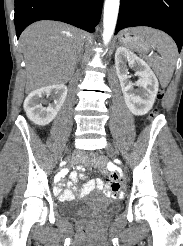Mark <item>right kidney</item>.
I'll return each instance as SVG.
<instances>
[{
  "mask_svg": "<svg viewBox=\"0 0 183 246\" xmlns=\"http://www.w3.org/2000/svg\"><path fill=\"white\" fill-rule=\"evenodd\" d=\"M67 87L64 84H54L32 91L24 101V110L27 117L36 125H48L57 115L67 96ZM45 97L52 100L47 107Z\"/></svg>",
  "mask_w": 183,
  "mask_h": 246,
  "instance_id": "right-kidney-1",
  "label": "right kidney"
}]
</instances>
